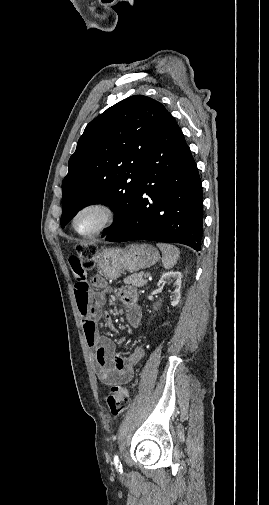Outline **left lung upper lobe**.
I'll return each instance as SVG.
<instances>
[{
  "label": "left lung upper lobe",
  "instance_id": "5c2ea615",
  "mask_svg": "<svg viewBox=\"0 0 269 505\" xmlns=\"http://www.w3.org/2000/svg\"><path fill=\"white\" fill-rule=\"evenodd\" d=\"M167 112L160 102L134 95L87 125L62 182V228L83 207L101 202L116 211L106 235L129 220L149 144Z\"/></svg>",
  "mask_w": 269,
  "mask_h": 505
}]
</instances>
